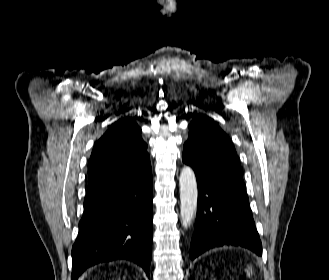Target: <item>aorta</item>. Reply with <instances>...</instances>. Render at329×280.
I'll return each mask as SVG.
<instances>
[{"label": "aorta", "mask_w": 329, "mask_h": 280, "mask_svg": "<svg viewBox=\"0 0 329 280\" xmlns=\"http://www.w3.org/2000/svg\"><path fill=\"white\" fill-rule=\"evenodd\" d=\"M181 223L187 228L197 210L198 188L193 169L184 166L179 176Z\"/></svg>", "instance_id": "1"}]
</instances>
